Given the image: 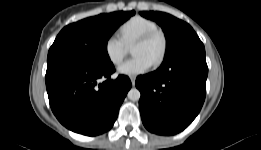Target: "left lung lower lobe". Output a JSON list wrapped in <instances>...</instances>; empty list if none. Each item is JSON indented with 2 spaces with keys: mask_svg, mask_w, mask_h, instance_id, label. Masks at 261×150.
I'll return each instance as SVG.
<instances>
[{
  "mask_svg": "<svg viewBox=\"0 0 261 150\" xmlns=\"http://www.w3.org/2000/svg\"><path fill=\"white\" fill-rule=\"evenodd\" d=\"M208 67L199 37L181 42L154 72L140 75L139 109L145 128L159 135L183 131L204 103Z\"/></svg>",
  "mask_w": 261,
  "mask_h": 150,
  "instance_id": "left-lung-lower-lobe-1",
  "label": "left lung lower lobe"
}]
</instances>
